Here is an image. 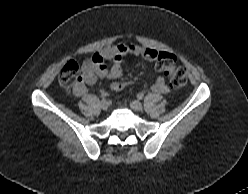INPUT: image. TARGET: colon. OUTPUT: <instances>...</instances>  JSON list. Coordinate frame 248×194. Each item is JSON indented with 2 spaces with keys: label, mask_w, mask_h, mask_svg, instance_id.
<instances>
[{
  "label": "colon",
  "mask_w": 248,
  "mask_h": 194,
  "mask_svg": "<svg viewBox=\"0 0 248 194\" xmlns=\"http://www.w3.org/2000/svg\"><path fill=\"white\" fill-rule=\"evenodd\" d=\"M156 68L163 72L168 78L171 87L181 88L187 83V71L184 67L177 64L174 55L167 52H156L154 56ZM80 80V66L76 61H68L62 68L60 73V85L68 89ZM128 86L126 82H114L112 88L114 90H122Z\"/></svg>",
  "instance_id": "1"
}]
</instances>
